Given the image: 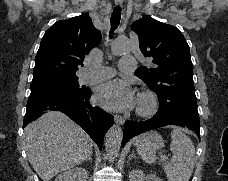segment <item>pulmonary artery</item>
Listing matches in <instances>:
<instances>
[{
  "mask_svg": "<svg viewBox=\"0 0 228 181\" xmlns=\"http://www.w3.org/2000/svg\"><path fill=\"white\" fill-rule=\"evenodd\" d=\"M120 66L122 71H133L132 62H135V57H120ZM113 69L110 67H103V74H90L86 77V81H91L92 79H113Z\"/></svg>",
  "mask_w": 228,
  "mask_h": 181,
  "instance_id": "e3ab8cb5",
  "label": "pulmonary artery"
}]
</instances>
